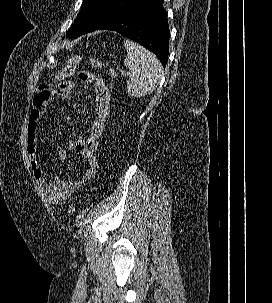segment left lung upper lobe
I'll list each match as a JSON object with an SVG mask.
<instances>
[{
    "label": "left lung upper lobe",
    "instance_id": "1",
    "mask_svg": "<svg viewBox=\"0 0 272 303\" xmlns=\"http://www.w3.org/2000/svg\"><path fill=\"white\" fill-rule=\"evenodd\" d=\"M141 0H84L75 23L67 33L69 38H77L117 15L121 11L134 6Z\"/></svg>",
    "mask_w": 272,
    "mask_h": 303
}]
</instances>
